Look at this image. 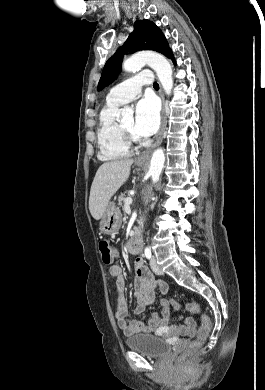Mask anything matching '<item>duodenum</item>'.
<instances>
[{"label":"duodenum","mask_w":265,"mask_h":390,"mask_svg":"<svg viewBox=\"0 0 265 390\" xmlns=\"http://www.w3.org/2000/svg\"><path fill=\"white\" fill-rule=\"evenodd\" d=\"M141 235V228L138 227L127 241L126 246L129 252L138 253L141 250Z\"/></svg>","instance_id":"410a0bca"}]
</instances>
